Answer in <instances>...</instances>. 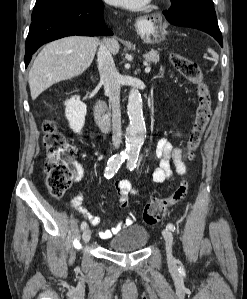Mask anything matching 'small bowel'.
Listing matches in <instances>:
<instances>
[{
    "instance_id": "small-bowel-1",
    "label": "small bowel",
    "mask_w": 247,
    "mask_h": 299,
    "mask_svg": "<svg viewBox=\"0 0 247 299\" xmlns=\"http://www.w3.org/2000/svg\"><path fill=\"white\" fill-rule=\"evenodd\" d=\"M181 149L167 139L162 138L157 142L155 154L160 159L158 166L152 173V180L155 183H163L165 181L173 180L174 175H184L186 166L181 158ZM79 176L81 173L79 171ZM118 196L117 200L120 207L125 208L128 206L130 196L137 193L132 183L127 179H120L115 182ZM82 195L78 194L72 200V205L77 212H79L88 222L92 225H99L100 218L89 213L81 206ZM134 222V218L129 216L120 220L115 227L110 230H99L101 238H110L112 235L118 233L122 228Z\"/></svg>"
}]
</instances>
